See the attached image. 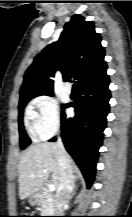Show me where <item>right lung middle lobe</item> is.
<instances>
[{
    "label": "right lung middle lobe",
    "instance_id": "1",
    "mask_svg": "<svg viewBox=\"0 0 132 217\" xmlns=\"http://www.w3.org/2000/svg\"><path fill=\"white\" fill-rule=\"evenodd\" d=\"M52 95H49V96H52ZM32 98H34V97H24V98H21L20 102H19V107H18L19 108V118H18V121H19V133H20V147H21V149L26 148L31 143V140L27 136V134H26V132L24 130V126H23V109H24L25 105L27 104V102L29 100H31Z\"/></svg>",
    "mask_w": 132,
    "mask_h": 217
}]
</instances>
